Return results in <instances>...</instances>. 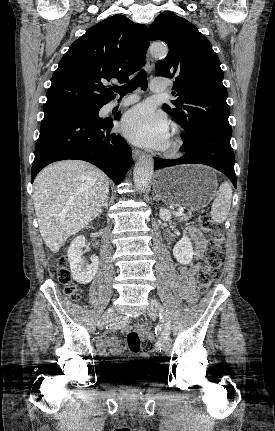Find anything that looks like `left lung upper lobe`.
<instances>
[{
  "label": "left lung upper lobe",
  "instance_id": "obj_1",
  "mask_svg": "<svg viewBox=\"0 0 275 431\" xmlns=\"http://www.w3.org/2000/svg\"><path fill=\"white\" fill-rule=\"evenodd\" d=\"M152 41L167 43L169 53L155 65L158 76L173 78L177 99L163 109L177 119L186 137H231L227 90L220 60L197 27L173 12H163L149 27Z\"/></svg>",
  "mask_w": 275,
  "mask_h": 431
}]
</instances>
